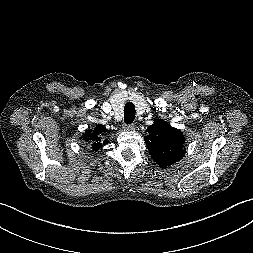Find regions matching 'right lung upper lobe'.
I'll return each instance as SVG.
<instances>
[{"label": "right lung upper lobe", "mask_w": 253, "mask_h": 253, "mask_svg": "<svg viewBox=\"0 0 253 253\" xmlns=\"http://www.w3.org/2000/svg\"><path fill=\"white\" fill-rule=\"evenodd\" d=\"M106 132L107 129L103 125H96L94 129L86 130L83 139L90 143L93 151H97L108 143V139L103 138Z\"/></svg>", "instance_id": "1"}]
</instances>
